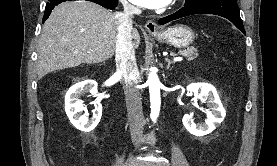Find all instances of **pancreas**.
<instances>
[{"label": "pancreas", "mask_w": 277, "mask_h": 166, "mask_svg": "<svg viewBox=\"0 0 277 166\" xmlns=\"http://www.w3.org/2000/svg\"><path fill=\"white\" fill-rule=\"evenodd\" d=\"M179 54L186 56L188 60H193L198 57V51L195 47H190L184 50H180Z\"/></svg>", "instance_id": "cf45deb5"}]
</instances>
